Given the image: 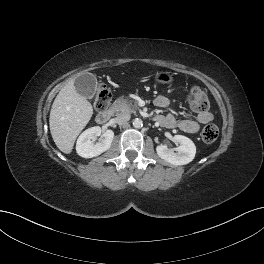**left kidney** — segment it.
Returning <instances> with one entry per match:
<instances>
[{"instance_id":"1","label":"left kidney","mask_w":264,"mask_h":264,"mask_svg":"<svg viewBox=\"0 0 264 264\" xmlns=\"http://www.w3.org/2000/svg\"><path fill=\"white\" fill-rule=\"evenodd\" d=\"M174 140L180 144L175 149H170L166 145H158L156 152L158 156L172 165H185L190 163L196 154V146L191 139L182 135H175Z\"/></svg>"}]
</instances>
